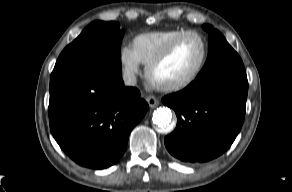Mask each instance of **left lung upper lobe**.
<instances>
[{
	"instance_id": "obj_1",
	"label": "left lung upper lobe",
	"mask_w": 292,
	"mask_h": 192,
	"mask_svg": "<svg viewBox=\"0 0 292 192\" xmlns=\"http://www.w3.org/2000/svg\"><path fill=\"white\" fill-rule=\"evenodd\" d=\"M203 29L209 33L208 58L196 79L223 72H245L241 58L223 35L208 24Z\"/></svg>"
}]
</instances>
